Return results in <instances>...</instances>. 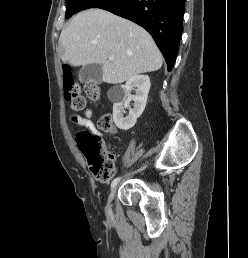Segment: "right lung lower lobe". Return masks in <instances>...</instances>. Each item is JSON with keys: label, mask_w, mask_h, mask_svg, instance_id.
Segmentation results:
<instances>
[{"label": "right lung lower lobe", "mask_w": 248, "mask_h": 258, "mask_svg": "<svg viewBox=\"0 0 248 258\" xmlns=\"http://www.w3.org/2000/svg\"><path fill=\"white\" fill-rule=\"evenodd\" d=\"M95 8L110 11L146 29L171 71L182 33L185 0H109Z\"/></svg>", "instance_id": "right-lung-lower-lobe-1"}]
</instances>
